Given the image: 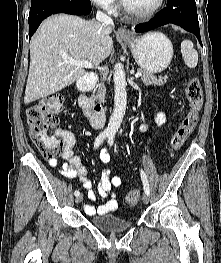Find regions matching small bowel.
Here are the masks:
<instances>
[{"instance_id":"1","label":"small bowel","mask_w":221,"mask_h":263,"mask_svg":"<svg viewBox=\"0 0 221 263\" xmlns=\"http://www.w3.org/2000/svg\"><path fill=\"white\" fill-rule=\"evenodd\" d=\"M64 140V150L62 154L63 161L50 159L48 164L51 167H59V172L62 176L68 178H79L84 187L88 190V198L91 201L95 200V194L92 190V183L89 179V174L85 166L81 163L79 157L74 153V146L76 143L75 135L71 131H62ZM111 160L109 153L103 150L99 156L100 164H107ZM122 179L119 176L113 175L109 170H101V176L97 183V193L105 202L95 207L93 204H86L84 206L85 213L88 215H104L108 214L118 207L116 194L112 191L113 188L120 187Z\"/></svg>"}]
</instances>
